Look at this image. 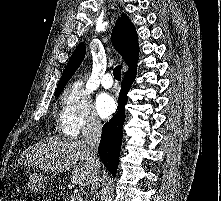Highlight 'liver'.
<instances>
[{"label":"liver","mask_w":221,"mask_h":201,"mask_svg":"<svg viewBox=\"0 0 221 201\" xmlns=\"http://www.w3.org/2000/svg\"><path fill=\"white\" fill-rule=\"evenodd\" d=\"M20 163L56 172H64L74 165L72 183L81 187L91 183V163L84 140L44 138L23 152Z\"/></svg>","instance_id":"1"}]
</instances>
